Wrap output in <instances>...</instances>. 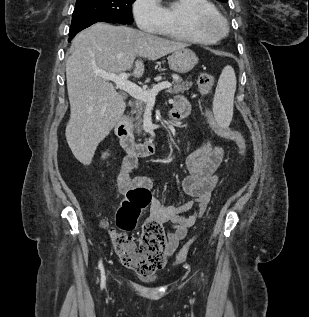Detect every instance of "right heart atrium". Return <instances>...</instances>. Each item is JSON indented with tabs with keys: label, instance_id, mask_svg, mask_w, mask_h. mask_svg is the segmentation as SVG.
Wrapping results in <instances>:
<instances>
[{
	"label": "right heart atrium",
	"instance_id": "1",
	"mask_svg": "<svg viewBox=\"0 0 309 317\" xmlns=\"http://www.w3.org/2000/svg\"><path fill=\"white\" fill-rule=\"evenodd\" d=\"M132 13L138 27L145 32L158 33L164 26V12L159 0H134Z\"/></svg>",
	"mask_w": 309,
	"mask_h": 317
}]
</instances>
